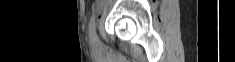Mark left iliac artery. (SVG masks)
I'll list each match as a JSON object with an SVG mask.
<instances>
[{"instance_id":"44dca946","label":"left iliac artery","mask_w":235,"mask_h":62,"mask_svg":"<svg viewBox=\"0 0 235 62\" xmlns=\"http://www.w3.org/2000/svg\"><path fill=\"white\" fill-rule=\"evenodd\" d=\"M96 22H95V14L91 16L90 22H89V34L92 38L93 42H98V36L96 34Z\"/></svg>"}]
</instances>
